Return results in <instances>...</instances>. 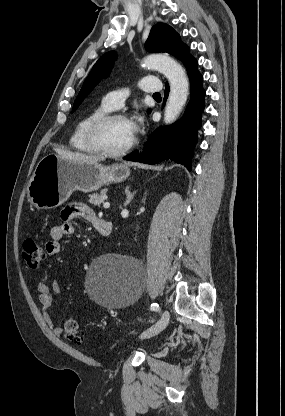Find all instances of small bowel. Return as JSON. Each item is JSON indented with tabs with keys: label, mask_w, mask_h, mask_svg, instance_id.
Wrapping results in <instances>:
<instances>
[{
	"label": "small bowel",
	"mask_w": 285,
	"mask_h": 416,
	"mask_svg": "<svg viewBox=\"0 0 285 416\" xmlns=\"http://www.w3.org/2000/svg\"><path fill=\"white\" fill-rule=\"evenodd\" d=\"M61 224L53 226L50 229V240L46 243V252L50 256H56L61 252L60 242L62 238L71 236L75 233V227L72 220L76 217L90 222L94 227L102 219L87 205L76 202L65 206L60 213ZM39 301L42 307V314L45 323L52 330L56 336L63 335V329L57 326L51 315V308L54 303V298L60 292V285L57 281H52L50 284L41 282L38 285Z\"/></svg>",
	"instance_id": "1"
}]
</instances>
